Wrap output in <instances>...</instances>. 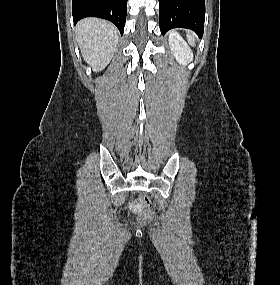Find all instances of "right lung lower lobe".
I'll return each instance as SVG.
<instances>
[{
  "mask_svg": "<svg viewBox=\"0 0 280 285\" xmlns=\"http://www.w3.org/2000/svg\"><path fill=\"white\" fill-rule=\"evenodd\" d=\"M126 13L127 0H72L74 24L85 17H100L113 22L123 35Z\"/></svg>",
  "mask_w": 280,
  "mask_h": 285,
  "instance_id": "obj_1",
  "label": "right lung lower lobe"
}]
</instances>
